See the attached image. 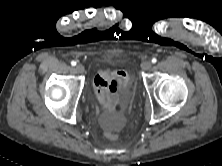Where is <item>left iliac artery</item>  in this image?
Here are the masks:
<instances>
[{
	"label": "left iliac artery",
	"mask_w": 222,
	"mask_h": 166,
	"mask_svg": "<svg viewBox=\"0 0 222 166\" xmlns=\"http://www.w3.org/2000/svg\"><path fill=\"white\" fill-rule=\"evenodd\" d=\"M152 63H156L157 62V59L156 58H152Z\"/></svg>",
	"instance_id": "44dca946"
}]
</instances>
